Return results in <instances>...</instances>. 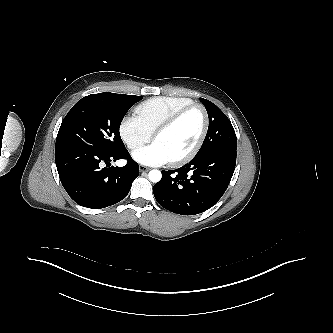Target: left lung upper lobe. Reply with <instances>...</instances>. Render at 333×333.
Here are the masks:
<instances>
[{"mask_svg":"<svg viewBox=\"0 0 333 333\" xmlns=\"http://www.w3.org/2000/svg\"><path fill=\"white\" fill-rule=\"evenodd\" d=\"M206 107L209 116V127L206 138L196 155L215 149H237V138L234 128L227 116L211 101L199 99Z\"/></svg>","mask_w":333,"mask_h":333,"instance_id":"obj_1","label":"left lung upper lobe"}]
</instances>
